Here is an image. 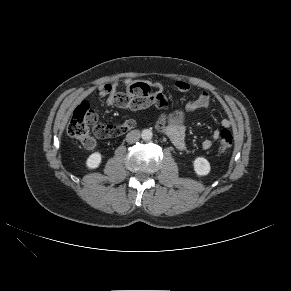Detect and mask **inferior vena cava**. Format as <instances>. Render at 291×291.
I'll list each match as a JSON object with an SVG mask.
<instances>
[{"instance_id": "obj_1", "label": "inferior vena cava", "mask_w": 291, "mask_h": 291, "mask_svg": "<svg viewBox=\"0 0 291 291\" xmlns=\"http://www.w3.org/2000/svg\"><path fill=\"white\" fill-rule=\"evenodd\" d=\"M140 131L132 130L126 135V141L130 144L137 142L140 139Z\"/></svg>"}]
</instances>
